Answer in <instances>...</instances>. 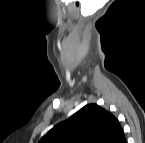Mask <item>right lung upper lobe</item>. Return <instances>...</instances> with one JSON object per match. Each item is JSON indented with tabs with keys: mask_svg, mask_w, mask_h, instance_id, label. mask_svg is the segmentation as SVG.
<instances>
[{
	"mask_svg": "<svg viewBox=\"0 0 145 143\" xmlns=\"http://www.w3.org/2000/svg\"><path fill=\"white\" fill-rule=\"evenodd\" d=\"M39 143H127L119 121L96 104H89L54 126Z\"/></svg>",
	"mask_w": 145,
	"mask_h": 143,
	"instance_id": "1",
	"label": "right lung upper lobe"
}]
</instances>
